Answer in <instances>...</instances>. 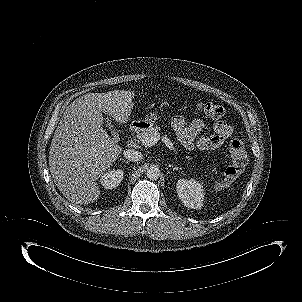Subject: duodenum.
Here are the masks:
<instances>
[{
  "instance_id": "410a0bca",
  "label": "duodenum",
  "mask_w": 302,
  "mask_h": 302,
  "mask_svg": "<svg viewBox=\"0 0 302 302\" xmlns=\"http://www.w3.org/2000/svg\"><path fill=\"white\" fill-rule=\"evenodd\" d=\"M142 127H143L142 122H134L129 127V133L133 134V133L139 132L142 129Z\"/></svg>"
}]
</instances>
